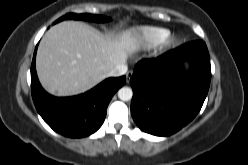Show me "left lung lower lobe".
I'll use <instances>...</instances> for the list:
<instances>
[{
	"instance_id": "0a47b994",
	"label": "left lung lower lobe",
	"mask_w": 248,
	"mask_h": 165,
	"mask_svg": "<svg viewBox=\"0 0 248 165\" xmlns=\"http://www.w3.org/2000/svg\"><path fill=\"white\" fill-rule=\"evenodd\" d=\"M185 60L191 62L187 72L182 69ZM210 79L209 52L203 41H192L156 59L137 63L130 79L135 123L156 136L179 131L200 111Z\"/></svg>"
}]
</instances>
